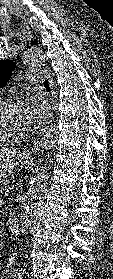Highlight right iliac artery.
Listing matches in <instances>:
<instances>
[{"label": "right iliac artery", "instance_id": "82829eb1", "mask_svg": "<svg viewBox=\"0 0 113 279\" xmlns=\"http://www.w3.org/2000/svg\"><path fill=\"white\" fill-rule=\"evenodd\" d=\"M17 273H19V270H18V269L15 268V269L12 270V275H13V276H15Z\"/></svg>", "mask_w": 113, "mask_h": 279}]
</instances>
